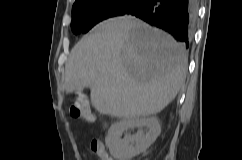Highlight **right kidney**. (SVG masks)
Returning <instances> with one entry per match:
<instances>
[{
    "label": "right kidney",
    "mask_w": 242,
    "mask_h": 160,
    "mask_svg": "<svg viewBox=\"0 0 242 160\" xmlns=\"http://www.w3.org/2000/svg\"><path fill=\"white\" fill-rule=\"evenodd\" d=\"M149 131L145 134L142 129ZM138 128L136 135L128 130ZM126 132L124 138H121ZM161 133V125L156 117L124 119L111 125L105 138L110 154L117 160H130L149 148Z\"/></svg>",
    "instance_id": "1"
}]
</instances>
